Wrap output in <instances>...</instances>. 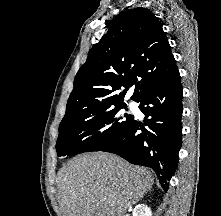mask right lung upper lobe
I'll return each mask as SVG.
<instances>
[{
    "label": "right lung upper lobe",
    "instance_id": "1",
    "mask_svg": "<svg viewBox=\"0 0 221 216\" xmlns=\"http://www.w3.org/2000/svg\"><path fill=\"white\" fill-rule=\"evenodd\" d=\"M177 70L158 18L142 7L125 10L90 49L75 76L62 120H75L95 109L125 104L126 91L140 77L131 97L138 102Z\"/></svg>",
    "mask_w": 221,
    "mask_h": 216
}]
</instances>
